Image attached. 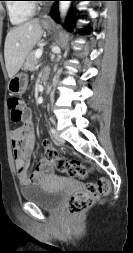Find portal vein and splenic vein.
<instances>
[{"label":"portal vein and splenic vein","mask_w":133,"mask_h":253,"mask_svg":"<svg viewBox=\"0 0 133 253\" xmlns=\"http://www.w3.org/2000/svg\"><path fill=\"white\" fill-rule=\"evenodd\" d=\"M43 50L42 49H37L35 52V57L40 58L42 56Z\"/></svg>","instance_id":"portal-vein-and-splenic-vein-1"}]
</instances>
